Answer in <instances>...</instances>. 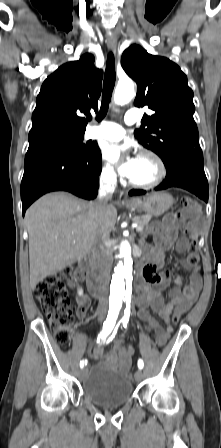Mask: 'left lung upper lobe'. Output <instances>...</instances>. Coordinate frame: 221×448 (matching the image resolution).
<instances>
[{
	"instance_id": "5c2ea615",
	"label": "left lung upper lobe",
	"mask_w": 221,
	"mask_h": 448,
	"mask_svg": "<svg viewBox=\"0 0 221 448\" xmlns=\"http://www.w3.org/2000/svg\"><path fill=\"white\" fill-rule=\"evenodd\" d=\"M121 65L138 86L134 105L152 110L151 115H143L141 128L135 132L139 143L163 161L180 151L201 150L193 91L179 66L148 54L139 45L124 51Z\"/></svg>"
}]
</instances>
